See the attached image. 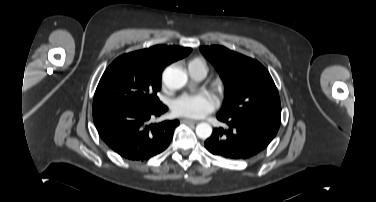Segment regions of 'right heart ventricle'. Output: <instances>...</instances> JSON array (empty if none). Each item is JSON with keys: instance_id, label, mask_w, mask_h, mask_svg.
I'll return each instance as SVG.
<instances>
[{"instance_id": "1", "label": "right heart ventricle", "mask_w": 376, "mask_h": 202, "mask_svg": "<svg viewBox=\"0 0 376 202\" xmlns=\"http://www.w3.org/2000/svg\"><path fill=\"white\" fill-rule=\"evenodd\" d=\"M202 66L206 68L205 62L200 58H195L189 62V69L192 67Z\"/></svg>"}]
</instances>
